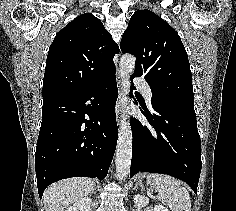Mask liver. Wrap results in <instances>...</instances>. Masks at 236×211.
I'll use <instances>...</instances> for the list:
<instances>
[{"instance_id":"1","label":"liver","mask_w":236,"mask_h":211,"mask_svg":"<svg viewBox=\"0 0 236 211\" xmlns=\"http://www.w3.org/2000/svg\"><path fill=\"white\" fill-rule=\"evenodd\" d=\"M94 181L88 178H69L54 183L43 194L45 211H66L71 204L92 192Z\"/></svg>"}]
</instances>
